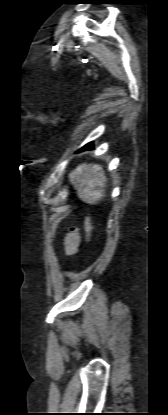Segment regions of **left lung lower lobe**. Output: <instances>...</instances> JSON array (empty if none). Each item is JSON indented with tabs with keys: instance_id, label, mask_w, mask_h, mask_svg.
<instances>
[{
	"instance_id": "1",
	"label": "left lung lower lobe",
	"mask_w": 168,
	"mask_h": 415,
	"mask_svg": "<svg viewBox=\"0 0 168 415\" xmlns=\"http://www.w3.org/2000/svg\"><path fill=\"white\" fill-rule=\"evenodd\" d=\"M93 142H90V143H88V144H86L85 146H83L80 150H78L79 152L80 151H84V150H89V149H93Z\"/></svg>"
}]
</instances>
